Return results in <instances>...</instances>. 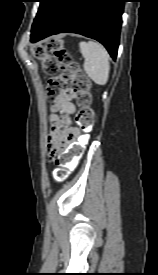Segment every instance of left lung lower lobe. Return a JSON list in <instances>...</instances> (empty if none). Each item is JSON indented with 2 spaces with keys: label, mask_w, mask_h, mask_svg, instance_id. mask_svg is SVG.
<instances>
[{
  "label": "left lung lower lobe",
  "mask_w": 158,
  "mask_h": 275,
  "mask_svg": "<svg viewBox=\"0 0 158 275\" xmlns=\"http://www.w3.org/2000/svg\"><path fill=\"white\" fill-rule=\"evenodd\" d=\"M123 2L125 0H55L45 21L31 33V42L58 33H77L99 41L116 59Z\"/></svg>",
  "instance_id": "left-lung-lower-lobe-1"
}]
</instances>
